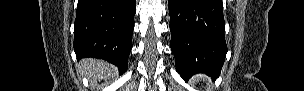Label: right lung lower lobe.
I'll return each mask as SVG.
<instances>
[{"label":"right lung lower lobe","instance_id":"obj_1","mask_svg":"<svg viewBox=\"0 0 304 91\" xmlns=\"http://www.w3.org/2000/svg\"><path fill=\"white\" fill-rule=\"evenodd\" d=\"M135 12L136 0H78L74 27L77 58L105 59L125 72Z\"/></svg>","mask_w":304,"mask_h":91}]
</instances>
